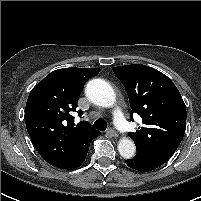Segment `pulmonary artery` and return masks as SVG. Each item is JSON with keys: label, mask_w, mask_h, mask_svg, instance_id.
Returning <instances> with one entry per match:
<instances>
[{"label": "pulmonary artery", "mask_w": 201, "mask_h": 201, "mask_svg": "<svg viewBox=\"0 0 201 201\" xmlns=\"http://www.w3.org/2000/svg\"><path fill=\"white\" fill-rule=\"evenodd\" d=\"M113 118H114L115 125L118 128V130H120L121 132H126L129 130L130 125L126 121L122 112L119 109L114 111Z\"/></svg>", "instance_id": "pulmonary-artery-1"}]
</instances>
